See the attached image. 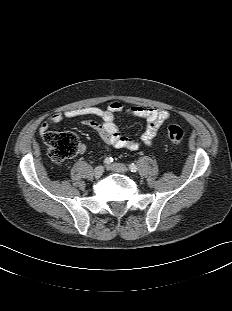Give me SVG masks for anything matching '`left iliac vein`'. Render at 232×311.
<instances>
[{"label":"left iliac vein","instance_id":"obj_1","mask_svg":"<svg viewBox=\"0 0 232 311\" xmlns=\"http://www.w3.org/2000/svg\"><path fill=\"white\" fill-rule=\"evenodd\" d=\"M109 169H111L112 171H115V172H119V173H126L128 171L127 166L122 164V163L111 164L109 166Z\"/></svg>","mask_w":232,"mask_h":311}]
</instances>
